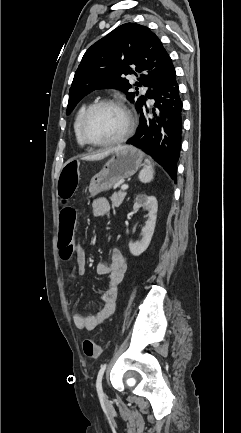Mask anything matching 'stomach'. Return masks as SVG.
<instances>
[{
	"label": "stomach",
	"mask_w": 241,
	"mask_h": 433,
	"mask_svg": "<svg viewBox=\"0 0 241 433\" xmlns=\"http://www.w3.org/2000/svg\"><path fill=\"white\" fill-rule=\"evenodd\" d=\"M142 157L141 151L132 146L116 151L102 170L92 177L89 184L91 197L110 190L120 180L134 175L141 166Z\"/></svg>",
	"instance_id": "obj_1"
}]
</instances>
